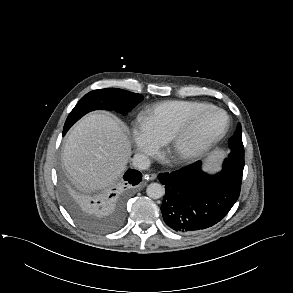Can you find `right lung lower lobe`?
<instances>
[{"label": "right lung lower lobe", "instance_id": "1", "mask_svg": "<svg viewBox=\"0 0 293 293\" xmlns=\"http://www.w3.org/2000/svg\"><path fill=\"white\" fill-rule=\"evenodd\" d=\"M64 135V134H63ZM125 182L123 185H137L142 180V174L137 170L129 169L123 176ZM89 208L100 215L112 214V222L118 227L124 217L125 202L124 197L119 192L106 193L105 195L84 199ZM110 228L108 231L115 229Z\"/></svg>", "mask_w": 293, "mask_h": 293}]
</instances>
